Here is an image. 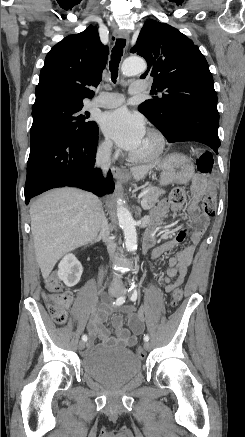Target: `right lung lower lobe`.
Segmentation results:
<instances>
[{"instance_id": "obj_1", "label": "right lung lower lobe", "mask_w": 245, "mask_h": 437, "mask_svg": "<svg viewBox=\"0 0 245 437\" xmlns=\"http://www.w3.org/2000/svg\"><path fill=\"white\" fill-rule=\"evenodd\" d=\"M98 127L85 136L67 137L47 131L31 142L27 162L25 203L49 189L77 186L98 196L112 193L114 182L94 168L98 144Z\"/></svg>"}]
</instances>
